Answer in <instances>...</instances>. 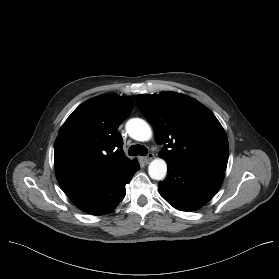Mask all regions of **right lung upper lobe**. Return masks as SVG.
I'll list each match as a JSON object with an SVG mask.
<instances>
[{
    "mask_svg": "<svg viewBox=\"0 0 279 279\" xmlns=\"http://www.w3.org/2000/svg\"><path fill=\"white\" fill-rule=\"evenodd\" d=\"M133 103L131 97L91 98L60 128L54 146L55 172L68 197L105 184L133 165L117 132Z\"/></svg>",
    "mask_w": 279,
    "mask_h": 279,
    "instance_id": "1",
    "label": "right lung upper lobe"
}]
</instances>
